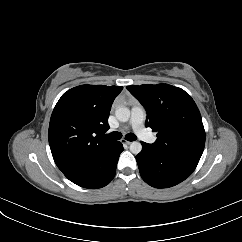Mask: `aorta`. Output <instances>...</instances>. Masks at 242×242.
Segmentation results:
<instances>
[{"instance_id":"obj_1","label":"aorta","mask_w":242,"mask_h":242,"mask_svg":"<svg viewBox=\"0 0 242 242\" xmlns=\"http://www.w3.org/2000/svg\"><path fill=\"white\" fill-rule=\"evenodd\" d=\"M116 118L121 122H126L130 118V110L127 107H118L115 111ZM142 150V145L138 141H134L130 144V151L133 154H139Z\"/></svg>"}]
</instances>
